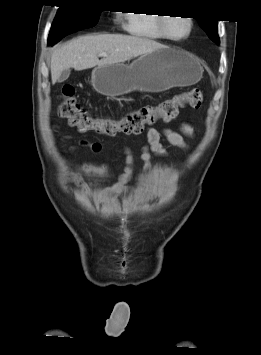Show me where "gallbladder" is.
Instances as JSON below:
<instances>
[{
    "label": "gallbladder",
    "mask_w": 261,
    "mask_h": 355,
    "mask_svg": "<svg viewBox=\"0 0 261 355\" xmlns=\"http://www.w3.org/2000/svg\"><path fill=\"white\" fill-rule=\"evenodd\" d=\"M69 75H70V69L63 70L61 75L58 78V82L62 83L64 81H66L68 79Z\"/></svg>",
    "instance_id": "bac80fb5"
}]
</instances>
